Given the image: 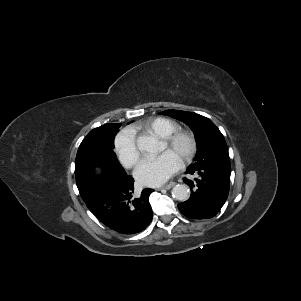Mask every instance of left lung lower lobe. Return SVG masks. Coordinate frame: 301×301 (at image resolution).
<instances>
[{
  "label": "left lung lower lobe",
  "instance_id": "0a47b994",
  "mask_svg": "<svg viewBox=\"0 0 301 301\" xmlns=\"http://www.w3.org/2000/svg\"><path fill=\"white\" fill-rule=\"evenodd\" d=\"M186 173L195 174L197 177L194 180L184 178V182L191 189V195L187 201L178 204L179 210L191 219L212 218L228 197L231 170L188 167Z\"/></svg>",
  "mask_w": 301,
  "mask_h": 301
}]
</instances>
